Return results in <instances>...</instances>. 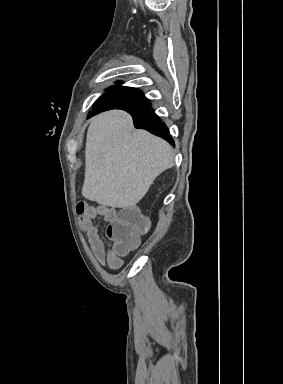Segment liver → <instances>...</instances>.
Listing matches in <instances>:
<instances>
[{"label": "liver", "instance_id": "liver-1", "mask_svg": "<svg viewBox=\"0 0 283 384\" xmlns=\"http://www.w3.org/2000/svg\"><path fill=\"white\" fill-rule=\"evenodd\" d=\"M172 166L168 142L135 130L131 116L122 110L103 112L88 128L82 196L101 206L131 208Z\"/></svg>", "mask_w": 283, "mask_h": 384}]
</instances>
